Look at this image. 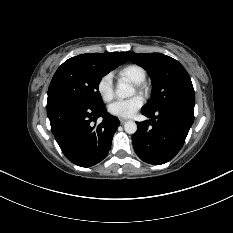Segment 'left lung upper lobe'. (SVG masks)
Listing matches in <instances>:
<instances>
[{"mask_svg":"<svg viewBox=\"0 0 233 233\" xmlns=\"http://www.w3.org/2000/svg\"><path fill=\"white\" fill-rule=\"evenodd\" d=\"M125 55L145 68L152 78V99L145 110L181 107L194 111L193 85L187 71L177 60L161 53L125 52Z\"/></svg>","mask_w":233,"mask_h":233,"instance_id":"5c2ea615","label":"left lung upper lobe"}]
</instances>
